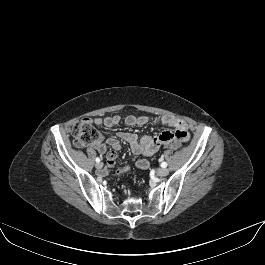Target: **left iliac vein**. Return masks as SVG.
<instances>
[{
  "label": "left iliac vein",
  "instance_id": "4c4485c4",
  "mask_svg": "<svg viewBox=\"0 0 265 265\" xmlns=\"http://www.w3.org/2000/svg\"><path fill=\"white\" fill-rule=\"evenodd\" d=\"M169 170L167 168H160L157 170V175L160 177H164L166 175H168Z\"/></svg>",
  "mask_w": 265,
  "mask_h": 265
}]
</instances>
